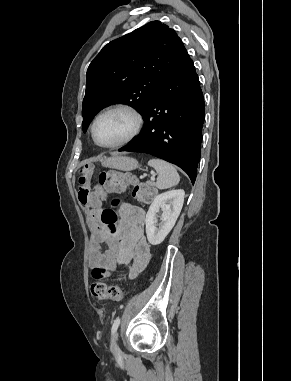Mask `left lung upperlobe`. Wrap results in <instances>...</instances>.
<instances>
[{"label": "left lung upper lobe", "mask_w": 291, "mask_h": 381, "mask_svg": "<svg viewBox=\"0 0 291 381\" xmlns=\"http://www.w3.org/2000/svg\"><path fill=\"white\" fill-rule=\"evenodd\" d=\"M186 54L176 32L159 21L109 42L87 70L83 131L101 109L113 103L130 105L142 114Z\"/></svg>", "instance_id": "obj_1"}]
</instances>
